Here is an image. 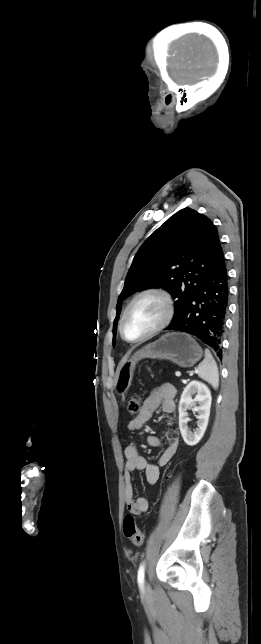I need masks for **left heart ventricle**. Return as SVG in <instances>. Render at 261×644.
Masks as SVG:
<instances>
[{
	"instance_id": "obj_1",
	"label": "left heart ventricle",
	"mask_w": 261,
	"mask_h": 644,
	"mask_svg": "<svg viewBox=\"0 0 261 644\" xmlns=\"http://www.w3.org/2000/svg\"><path fill=\"white\" fill-rule=\"evenodd\" d=\"M164 304L157 296L139 299L130 309L125 322L128 339H138L155 328L164 316Z\"/></svg>"
}]
</instances>
